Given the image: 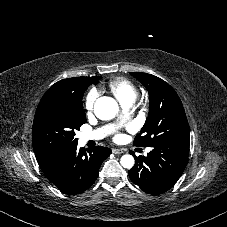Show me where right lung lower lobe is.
<instances>
[{"instance_id":"1","label":"right lung lower lobe","mask_w":227,"mask_h":227,"mask_svg":"<svg viewBox=\"0 0 227 227\" xmlns=\"http://www.w3.org/2000/svg\"><path fill=\"white\" fill-rule=\"evenodd\" d=\"M111 150L90 148L88 153L77 145L57 150L37 158L45 176L62 192L75 195L87 190L97 179L102 162Z\"/></svg>"}]
</instances>
